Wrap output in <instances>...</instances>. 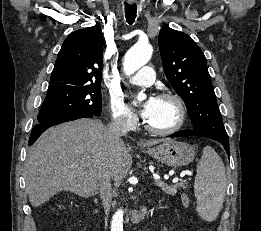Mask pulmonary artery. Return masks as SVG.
<instances>
[{"label":"pulmonary artery","instance_id":"pulmonary-artery-1","mask_svg":"<svg viewBox=\"0 0 261 231\" xmlns=\"http://www.w3.org/2000/svg\"><path fill=\"white\" fill-rule=\"evenodd\" d=\"M155 80V72L152 67H142L132 78L131 82L140 86L151 85Z\"/></svg>","mask_w":261,"mask_h":231}]
</instances>
